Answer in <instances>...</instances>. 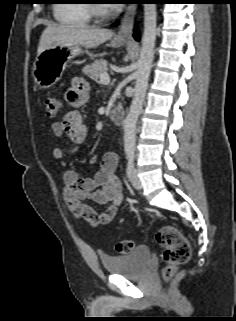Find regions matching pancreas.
<instances>
[{"label": "pancreas", "mask_w": 236, "mask_h": 321, "mask_svg": "<svg viewBox=\"0 0 236 321\" xmlns=\"http://www.w3.org/2000/svg\"><path fill=\"white\" fill-rule=\"evenodd\" d=\"M107 70V61L104 59H99L90 65H86L83 68V73L93 79H98L100 78V75L107 72Z\"/></svg>", "instance_id": "pancreas-1"}]
</instances>
